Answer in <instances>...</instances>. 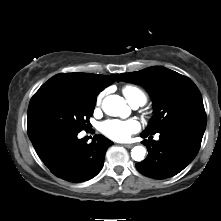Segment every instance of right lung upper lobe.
<instances>
[{
    "instance_id": "right-lung-upper-lobe-1",
    "label": "right lung upper lobe",
    "mask_w": 221,
    "mask_h": 221,
    "mask_svg": "<svg viewBox=\"0 0 221 221\" xmlns=\"http://www.w3.org/2000/svg\"><path fill=\"white\" fill-rule=\"evenodd\" d=\"M114 75H98L91 73H67L57 74L45 84H64L74 87L85 95L96 97L99 92L111 85L117 78Z\"/></svg>"
}]
</instances>
